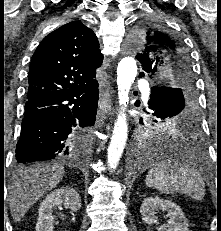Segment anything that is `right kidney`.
<instances>
[{"label": "right kidney", "instance_id": "right-kidney-1", "mask_svg": "<svg viewBox=\"0 0 221 231\" xmlns=\"http://www.w3.org/2000/svg\"><path fill=\"white\" fill-rule=\"evenodd\" d=\"M61 204L77 212L81 208V199L77 191L70 187L59 188L48 194L38 211L36 231H53V210Z\"/></svg>", "mask_w": 221, "mask_h": 231}]
</instances>
